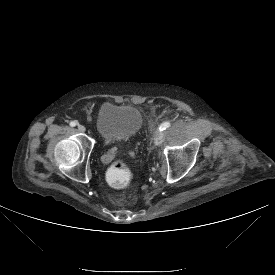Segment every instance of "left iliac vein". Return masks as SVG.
I'll return each mask as SVG.
<instances>
[{
	"mask_svg": "<svg viewBox=\"0 0 275 275\" xmlns=\"http://www.w3.org/2000/svg\"><path fill=\"white\" fill-rule=\"evenodd\" d=\"M164 141V133L157 131L154 136V143L155 145L159 146Z\"/></svg>",
	"mask_w": 275,
	"mask_h": 275,
	"instance_id": "1",
	"label": "left iliac vein"
}]
</instances>
